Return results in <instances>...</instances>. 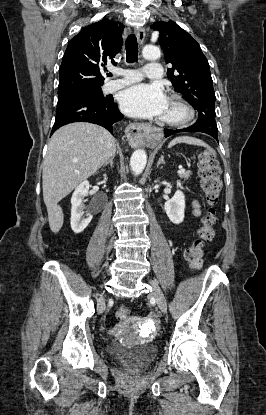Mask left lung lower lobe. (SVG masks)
Returning a JSON list of instances; mask_svg holds the SVG:
<instances>
[{"mask_svg": "<svg viewBox=\"0 0 266 415\" xmlns=\"http://www.w3.org/2000/svg\"><path fill=\"white\" fill-rule=\"evenodd\" d=\"M164 132H165V137H168V136H170L172 134H175V133H178V132H196V131H194L191 127H188V128L179 129V130L165 129ZM211 136L214 137L218 141L217 135H211Z\"/></svg>", "mask_w": 266, "mask_h": 415, "instance_id": "obj_1", "label": "left lung lower lobe"}]
</instances>
